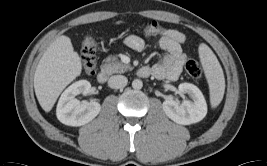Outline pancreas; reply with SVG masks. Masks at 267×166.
<instances>
[{"label":"pancreas","instance_id":"pancreas-1","mask_svg":"<svg viewBox=\"0 0 267 166\" xmlns=\"http://www.w3.org/2000/svg\"><path fill=\"white\" fill-rule=\"evenodd\" d=\"M104 64L101 66L102 70L108 75L114 73H124L128 70H132L130 65L123 64L115 56H109L104 60Z\"/></svg>","mask_w":267,"mask_h":166}]
</instances>
